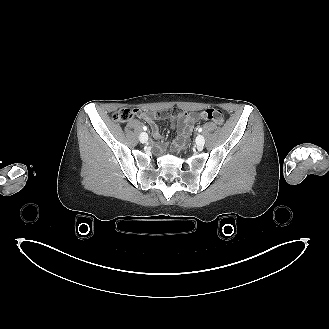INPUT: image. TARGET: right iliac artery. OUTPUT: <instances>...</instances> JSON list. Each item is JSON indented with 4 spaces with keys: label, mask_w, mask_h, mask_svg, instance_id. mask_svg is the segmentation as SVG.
<instances>
[{
    "label": "right iliac artery",
    "mask_w": 329,
    "mask_h": 329,
    "mask_svg": "<svg viewBox=\"0 0 329 329\" xmlns=\"http://www.w3.org/2000/svg\"><path fill=\"white\" fill-rule=\"evenodd\" d=\"M143 130L146 131L147 130V127L146 126H143Z\"/></svg>",
    "instance_id": "right-iliac-artery-1"
}]
</instances>
